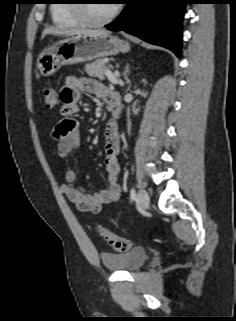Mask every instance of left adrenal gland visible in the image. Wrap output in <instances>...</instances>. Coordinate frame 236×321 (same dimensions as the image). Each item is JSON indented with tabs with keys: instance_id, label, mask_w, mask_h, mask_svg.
I'll return each mask as SVG.
<instances>
[{
	"instance_id": "1",
	"label": "left adrenal gland",
	"mask_w": 236,
	"mask_h": 321,
	"mask_svg": "<svg viewBox=\"0 0 236 321\" xmlns=\"http://www.w3.org/2000/svg\"><path fill=\"white\" fill-rule=\"evenodd\" d=\"M128 75H129V65L126 66V69L124 71V78L126 80V83L128 84L127 91H129L131 87V82H130V79L128 78Z\"/></svg>"
}]
</instances>
